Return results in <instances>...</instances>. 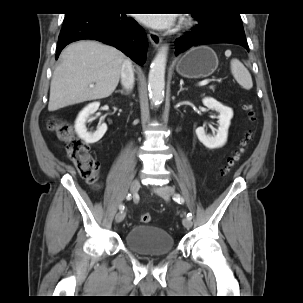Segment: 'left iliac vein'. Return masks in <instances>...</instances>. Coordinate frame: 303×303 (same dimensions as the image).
<instances>
[{"label": "left iliac vein", "instance_id": "1", "mask_svg": "<svg viewBox=\"0 0 303 303\" xmlns=\"http://www.w3.org/2000/svg\"><path fill=\"white\" fill-rule=\"evenodd\" d=\"M155 193H157L159 196H161L162 198H164L165 200H169L170 196H172L175 193V190L173 187L171 186H161L158 188H155L153 190ZM183 226L187 229L192 227V220L191 218H184L183 221Z\"/></svg>", "mask_w": 303, "mask_h": 303}]
</instances>
